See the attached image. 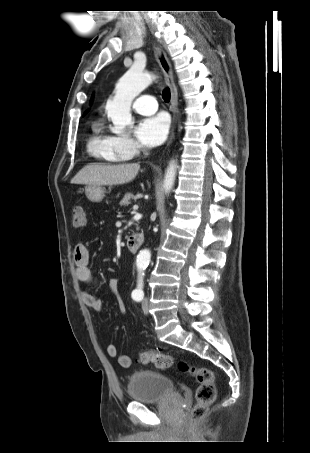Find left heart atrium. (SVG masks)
<instances>
[{
  "label": "left heart atrium",
  "mask_w": 310,
  "mask_h": 453,
  "mask_svg": "<svg viewBox=\"0 0 310 453\" xmlns=\"http://www.w3.org/2000/svg\"><path fill=\"white\" fill-rule=\"evenodd\" d=\"M169 118L165 114H157L141 120L136 128L138 140L145 146L161 144L169 131Z\"/></svg>",
  "instance_id": "1"
}]
</instances>
